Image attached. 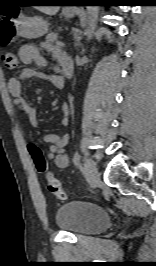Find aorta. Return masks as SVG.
Masks as SVG:
<instances>
[{
  "instance_id": "1",
  "label": "aorta",
  "mask_w": 156,
  "mask_h": 266,
  "mask_svg": "<svg viewBox=\"0 0 156 266\" xmlns=\"http://www.w3.org/2000/svg\"><path fill=\"white\" fill-rule=\"evenodd\" d=\"M86 12H87V23H88V27L86 29V35L88 36V38H90L97 25L99 7L88 6Z\"/></svg>"
}]
</instances>
